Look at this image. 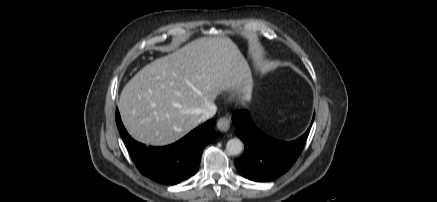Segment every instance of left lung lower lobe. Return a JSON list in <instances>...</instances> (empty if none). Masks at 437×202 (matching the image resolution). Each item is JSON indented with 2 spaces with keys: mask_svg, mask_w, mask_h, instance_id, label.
<instances>
[{
  "mask_svg": "<svg viewBox=\"0 0 437 202\" xmlns=\"http://www.w3.org/2000/svg\"><path fill=\"white\" fill-rule=\"evenodd\" d=\"M235 133L243 141V155L235 160L239 173L256 182H267L288 171L301 154L310 128L297 140L283 142L268 137L253 123L247 110L233 114ZM314 121L312 119L311 125Z\"/></svg>",
  "mask_w": 437,
  "mask_h": 202,
  "instance_id": "1",
  "label": "left lung lower lobe"
}]
</instances>
